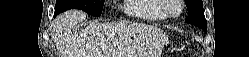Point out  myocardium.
<instances>
[{"label":"myocardium","mask_w":249,"mask_h":57,"mask_svg":"<svg viewBox=\"0 0 249 57\" xmlns=\"http://www.w3.org/2000/svg\"><path fill=\"white\" fill-rule=\"evenodd\" d=\"M163 2V11L168 18H177L179 17L184 9L183 0H162ZM176 5L178 7V12L176 14L171 13V8Z\"/></svg>","instance_id":"myocardium-1"}]
</instances>
